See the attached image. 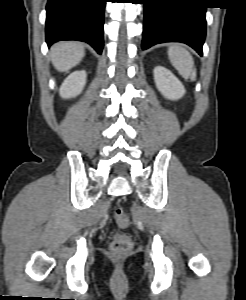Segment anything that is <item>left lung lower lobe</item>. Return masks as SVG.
<instances>
[{
    "label": "left lung lower lobe",
    "instance_id": "left-lung-lower-lobe-1",
    "mask_svg": "<svg viewBox=\"0 0 246 300\" xmlns=\"http://www.w3.org/2000/svg\"><path fill=\"white\" fill-rule=\"evenodd\" d=\"M142 49L162 42H183L202 56L206 5L202 0H143Z\"/></svg>",
    "mask_w": 246,
    "mask_h": 300
}]
</instances>
